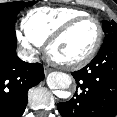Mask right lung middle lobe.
<instances>
[{"label": "right lung middle lobe", "instance_id": "obj_1", "mask_svg": "<svg viewBox=\"0 0 117 117\" xmlns=\"http://www.w3.org/2000/svg\"><path fill=\"white\" fill-rule=\"evenodd\" d=\"M35 2H8L0 4V24H8L15 26L18 13L27 5Z\"/></svg>", "mask_w": 117, "mask_h": 117}]
</instances>
